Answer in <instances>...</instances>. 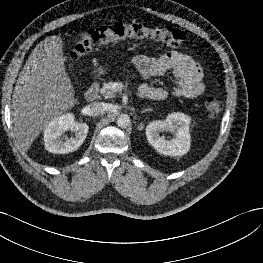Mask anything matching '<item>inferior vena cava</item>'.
Instances as JSON below:
<instances>
[{"label": "inferior vena cava", "mask_w": 263, "mask_h": 263, "mask_svg": "<svg viewBox=\"0 0 263 263\" xmlns=\"http://www.w3.org/2000/svg\"><path fill=\"white\" fill-rule=\"evenodd\" d=\"M88 114L91 116H98L105 112L106 104L103 102H93L87 106Z\"/></svg>", "instance_id": "1"}]
</instances>
